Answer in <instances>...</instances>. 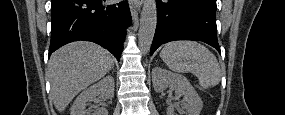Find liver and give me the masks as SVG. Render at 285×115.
<instances>
[{
    "label": "liver",
    "mask_w": 285,
    "mask_h": 115,
    "mask_svg": "<svg viewBox=\"0 0 285 115\" xmlns=\"http://www.w3.org/2000/svg\"><path fill=\"white\" fill-rule=\"evenodd\" d=\"M110 53L91 42H73L54 52L48 63L51 97L62 112L72 99L111 69Z\"/></svg>",
    "instance_id": "obj_1"
}]
</instances>
